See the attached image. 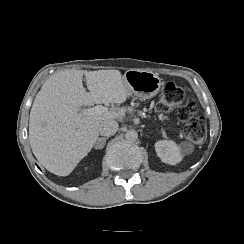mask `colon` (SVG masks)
I'll return each mask as SVG.
<instances>
[{
    "instance_id": "obj_1",
    "label": "colon",
    "mask_w": 244,
    "mask_h": 244,
    "mask_svg": "<svg viewBox=\"0 0 244 244\" xmlns=\"http://www.w3.org/2000/svg\"><path fill=\"white\" fill-rule=\"evenodd\" d=\"M186 85L169 81L164 85L157 104L160 115L174 114L185 122V133L195 144L203 143L207 136L205 119L200 115L196 101L186 97Z\"/></svg>"
}]
</instances>
